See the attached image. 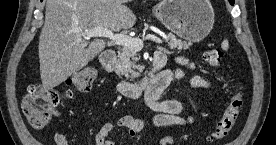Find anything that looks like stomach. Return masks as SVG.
<instances>
[{
	"instance_id": "obj_1",
	"label": "stomach",
	"mask_w": 276,
	"mask_h": 145,
	"mask_svg": "<svg viewBox=\"0 0 276 145\" xmlns=\"http://www.w3.org/2000/svg\"><path fill=\"white\" fill-rule=\"evenodd\" d=\"M153 13L166 28L190 42L203 40L214 24L209 0H162Z\"/></svg>"
}]
</instances>
